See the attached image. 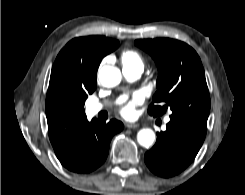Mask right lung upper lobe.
Returning a JSON list of instances; mask_svg holds the SVG:
<instances>
[{
    "mask_svg": "<svg viewBox=\"0 0 245 195\" xmlns=\"http://www.w3.org/2000/svg\"><path fill=\"white\" fill-rule=\"evenodd\" d=\"M118 43L104 36L79 37L68 42L58 54L45 105L48 134L55 151L69 144L87 122L84 104L96 88L99 64Z\"/></svg>",
    "mask_w": 245,
    "mask_h": 195,
    "instance_id": "obj_1",
    "label": "right lung upper lobe"
}]
</instances>
